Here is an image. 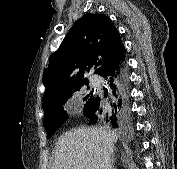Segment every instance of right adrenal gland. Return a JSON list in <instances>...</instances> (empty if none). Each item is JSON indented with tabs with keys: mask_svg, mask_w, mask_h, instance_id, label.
Masks as SVG:
<instances>
[{
	"mask_svg": "<svg viewBox=\"0 0 177 169\" xmlns=\"http://www.w3.org/2000/svg\"><path fill=\"white\" fill-rule=\"evenodd\" d=\"M114 156H115V154H113V157H112L111 169H116V168L114 167V163H115Z\"/></svg>",
	"mask_w": 177,
	"mask_h": 169,
	"instance_id": "right-adrenal-gland-1",
	"label": "right adrenal gland"
}]
</instances>
